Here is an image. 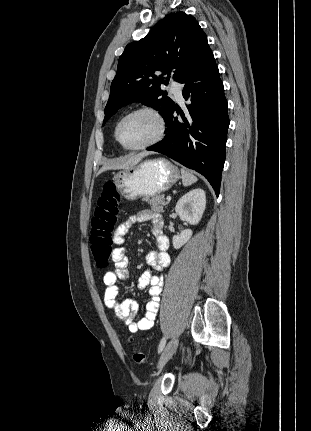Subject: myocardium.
I'll use <instances>...</instances> for the list:
<instances>
[{"mask_svg":"<svg viewBox=\"0 0 311 431\" xmlns=\"http://www.w3.org/2000/svg\"><path fill=\"white\" fill-rule=\"evenodd\" d=\"M139 112H147V113H150L153 116H155L159 122V132L151 141H149L147 143L137 145V146H127L119 138L118 126H119L120 122L125 117L132 115V114H135V113H139ZM166 130H167V123H166V119H165L164 115L157 108H155L153 106L142 105V106H138V107H135L133 109L128 110L127 112L123 113L117 119V121L115 122V125H114V137H115L116 141L120 144V146L126 150H143V149L152 147V146L156 145L158 142H160L162 140V138L164 137V135L166 134Z\"/></svg>","mask_w":311,"mask_h":431,"instance_id":"myocardium-1","label":"myocardium"}]
</instances>
